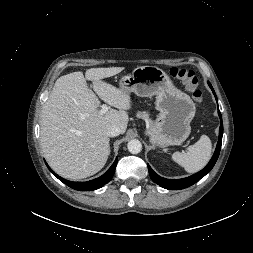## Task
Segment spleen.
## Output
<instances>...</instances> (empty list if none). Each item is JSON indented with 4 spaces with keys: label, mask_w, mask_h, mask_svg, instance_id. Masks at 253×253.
<instances>
[{
    "label": "spleen",
    "mask_w": 253,
    "mask_h": 253,
    "mask_svg": "<svg viewBox=\"0 0 253 253\" xmlns=\"http://www.w3.org/2000/svg\"><path fill=\"white\" fill-rule=\"evenodd\" d=\"M211 152L212 144L209 137L202 135L194 145L188 147L187 152L173 153L172 159L188 173H195L208 163Z\"/></svg>",
    "instance_id": "spleen-1"
}]
</instances>
